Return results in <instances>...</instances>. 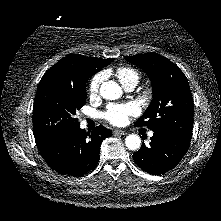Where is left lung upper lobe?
I'll return each mask as SVG.
<instances>
[{
  "label": "left lung upper lobe",
  "mask_w": 221,
  "mask_h": 221,
  "mask_svg": "<svg viewBox=\"0 0 221 221\" xmlns=\"http://www.w3.org/2000/svg\"><path fill=\"white\" fill-rule=\"evenodd\" d=\"M125 59L146 72L153 89L151 104L135 125L192 138L194 103L181 69L156 53L126 56Z\"/></svg>",
  "instance_id": "obj_1"
}]
</instances>
